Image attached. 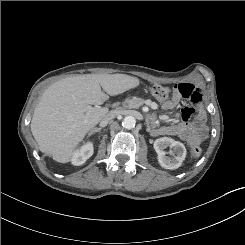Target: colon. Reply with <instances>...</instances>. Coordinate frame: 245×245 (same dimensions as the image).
I'll return each instance as SVG.
<instances>
[{"label": "colon", "instance_id": "5ec220e1", "mask_svg": "<svg viewBox=\"0 0 245 245\" xmlns=\"http://www.w3.org/2000/svg\"><path fill=\"white\" fill-rule=\"evenodd\" d=\"M150 92L154 95L159 101H167L170 97L171 90L167 86L163 85H153L150 87ZM202 150L198 146H194L190 150V155L192 158H199L201 156Z\"/></svg>", "mask_w": 245, "mask_h": 245}]
</instances>
